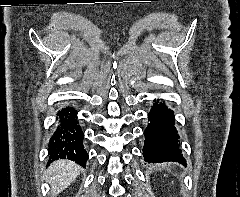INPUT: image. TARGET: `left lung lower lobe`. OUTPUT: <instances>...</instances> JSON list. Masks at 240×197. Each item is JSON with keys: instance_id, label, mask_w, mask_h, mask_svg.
I'll return each mask as SVG.
<instances>
[{"instance_id": "left-lung-lower-lobe-1", "label": "left lung lower lobe", "mask_w": 240, "mask_h": 197, "mask_svg": "<svg viewBox=\"0 0 240 197\" xmlns=\"http://www.w3.org/2000/svg\"><path fill=\"white\" fill-rule=\"evenodd\" d=\"M158 102L154 103L149 113L150 123L144 131V159L152 163L174 161L185 164L179 149V136L174 127L173 111L163 103L159 105Z\"/></svg>"}]
</instances>
